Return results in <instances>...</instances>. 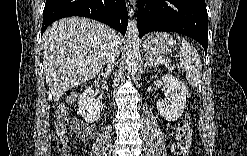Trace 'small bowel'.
Masks as SVG:
<instances>
[{
  "mask_svg": "<svg viewBox=\"0 0 247 156\" xmlns=\"http://www.w3.org/2000/svg\"><path fill=\"white\" fill-rule=\"evenodd\" d=\"M176 141H177V138H175ZM185 140V143H186V147H189L190 146V143H191V133H190V130H188V132L186 133V135L183 137L182 141Z\"/></svg>",
  "mask_w": 247,
  "mask_h": 156,
  "instance_id": "1",
  "label": "small bowel"
}]
</instances>
